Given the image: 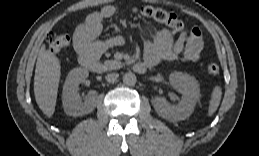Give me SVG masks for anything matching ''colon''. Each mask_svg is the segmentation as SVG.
Returning <instances> with one entry per match:
<instances>
[{"label":"colon","instance_id":"5ec220e1","mask_svg":"<svg viewBox=\"0 0 259 156\" xmlns=\"http://www.w3.org/2000/svg\"><path fill=\"white\" fill-rule=\"evenodd\" d=\"M137 12L146 18L166 25L174 33H189L182 21L173 12L153 6H143L137 9ZM69 44L70 37L67 34L53 32L48 36V45L50 50L53 52H60ZM205 72L209 77L216 76L219 72L218 64L214 61L209 62L205 67Z\"/></svg>","mask_w":259,"mask_h":156}]
</instances>
